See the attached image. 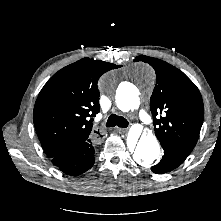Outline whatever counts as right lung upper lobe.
<instances>
[{
  "instance_id": "right-lung-upper-lobe-1",
  "label": "right lung upper lobe",
  "mask_w": 221,
  "mask_h": 221,
  "mask_svg": "<svg viewBox=\"0 0 221 221\" xmlns=\"http://www.w3.org/2000/svg\"><path fill=\"white\" fill-rule=\"evenodd\" d=\"M119 67L84 58L59 70L44 85L35 103L33 121L48 157L92 137L93 117L100 111L98 80Z\"/></svg>"
}]
</instances>
